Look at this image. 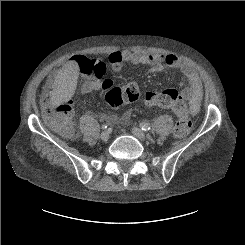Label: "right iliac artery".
Here are the masks:
<instances>
[{"instance_id": "right-iliac-artery-1", "label": "right iliac artery", "mask_w": 245, "mask_h": 245, "mask_svg": "<svg viewBox=\"0 0 245 245\" xmlns=\"http://www.w3.org/2000/svg\"><path fill=\"white\" fill-rule=\"evenodd\" d=\"M107 125L106 124H104V125H102V129H107Z\"/></svg>"}]
</instances>
